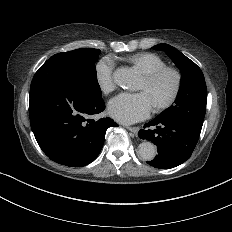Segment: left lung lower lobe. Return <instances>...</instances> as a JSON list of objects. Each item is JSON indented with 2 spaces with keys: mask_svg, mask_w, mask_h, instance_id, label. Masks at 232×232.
<instances>
[{
  "mask_svg": "<svg viewBox=\"0 0 232 232\" xmlns=\"http://www.w3.org/2000/svg\"><path fill=\"white\" fill-rule=\"evenodd\" d=\"M150 126H155L156 129L153 130ZM138 135L157 146L158 155L147 163L155 168L170 169L190 158L200 132L180 120L156 117L145 124Z\"/></svg>",
  "mask_w": 232,
  "mask_h": 232,
  "instance_id": "1",
  "label": "left lung lower lobe"
}]
</instances>
